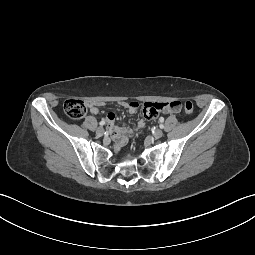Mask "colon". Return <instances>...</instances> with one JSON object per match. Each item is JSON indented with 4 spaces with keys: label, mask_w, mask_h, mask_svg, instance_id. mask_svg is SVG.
Masks as SVG:
<instances>
[{
    "label": "colon",
    "mask_w": 255,
    "mask_h": 255,
    "mask_svg": "<svg viewBox=\"0 0 255 255\" xmlns=\"http://www.w3.org/2000/svg\"><path fill=\"white\" fill-rule=\"evenodd\" d=\"M183 109L185 113L192 114L194 111V106L192 102L186 101L183 103ZM64 112L69 118L79 120L86 115L87 106L80 98H70L64 103Z\"/></svg>",
    "instance_id": "obj_1"
}]
</instances>
